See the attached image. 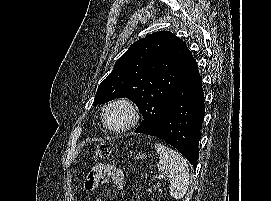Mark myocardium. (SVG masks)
<instances>
[{"mask_svg":"<svg viewBox=\"0 0 271 201\" xmlns=\"http://www.w3.org/2000/svg\"><path fill=\"white\" fill-rule=\"evenodd\" d=\"M117 105L124 106L129 111L130 120L124 126L115 128V127L110 126L107 123L106 113L111 107L117 106ZM101 121H102V124L105 127V129H107L108 131H111L114 133L126 132L128 130L133 129L134 127H136L138 125V123L140 121V111H139L137 105L132 100H130L128 98H124V97L123 98H116V99L109 101L102 109Z\"/></svg>","mask_w":271,"mask_h":201,"instance_id":"myocardium-1","label":"myocardium"}]
</instances>
